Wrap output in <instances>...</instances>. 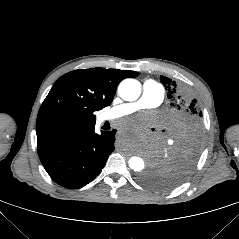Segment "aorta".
Listing matches in <instances>:
<instances>
[{
    "instance_id": "obj_1",
    "label": "aorta",
    "mask_w": 239,
    "mask_h": 239,
    "mask_svg": "<svg viewBox=\"0 0 239 239\" xmlns=\"http://www.w3.org/2000/svg\"><path fill=\"white\" fill-rule=\"evenodd\" d=\"M119 96L125 101H135L141 94L140 83L132 78L123 80L118 86ZM129 167L134 171H142L144 169V160L140 157L133 156L128 161Z\"/></svg>"
}]
</instances>
